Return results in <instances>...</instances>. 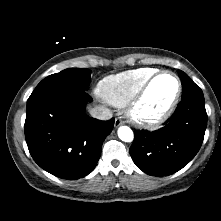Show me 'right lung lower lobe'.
<instances>
[{
    "mask_svg": "<svg viewBox=\"0 0 221 221\" xmlns=\"http://www.w3.org/2000/svg\"><path fill=\"white\" fill-rule=\"evenodd\" d=\"M86 90H63L27 102L25 138L34 161L62 179L93 171L114 119L100 121L85 114Z\"/></svg>",
    "mask_w": 221,
    "mask_h": 221,
    "instance_id": "right-lung-lower-lobe-1",
    "label": "right lung lower lobe"
}]
</instances>
